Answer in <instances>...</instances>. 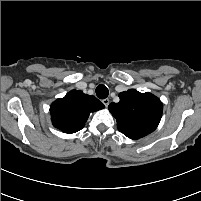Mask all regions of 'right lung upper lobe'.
<instances>
[{"label": "right lung upper lobe", "instance_id": "1", "mask_svg": "<svg viewBox=\"0 0 201 201\" xmlns=\"http://www.w3.org/2000/svg\"><path fill=\"white\" fill-rule=\"evenodd\" d=\"M104 107V104L94 96L72 90L51 104L52 124L64 133H75L85 126L91 112Z\"/></svg>", "mask_w": 201, "mask_h": 201}]
</instances>
